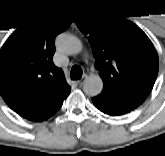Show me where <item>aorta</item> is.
<instances>
[{
  "instance_id": "1",
  "label": "aorta",
  "mask_w": 165,
  "mask_h": 156,
  "mask_svg": "<svg viewBox=\"0 0 165 156\" xmlns=\"http://www.w3.org/2000/svg\"><path fill=\"white\" fill-rule=\"evenodd\" d=\"M59 49L68 55L79 54L82 49L81 41L70 34L63 35L58 42ZM103 89V81L98 75L89 76L83 85V90L88 96H96L101 93Z\"/></svg>"
}]
</instances>
